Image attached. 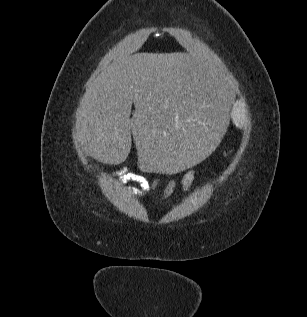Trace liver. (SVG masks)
<instances>
[{
    "label": "liver",
    "mask_w": 307,
    "mask_h": 317,
    "mask_svg": "<svg viewBox=\"0 0 307 317\" xmlns=\"http://www.w3.org/2000/svg\"><path fill=\"white\" fill-rule=\"evenodd\" d=\"M214 67L186 53H138L116 61L88 83L74 141L87 155L119 164L132 133L139 172L183 175L223 141L231 83Z\"/></svg>",
    "instance_id": "liver-1"
}]
</instances>
